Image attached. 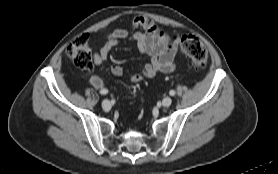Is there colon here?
Listing matches in <instances>:
<instances>
[{"label": "colon", "instance_id": "colon-1", "mask_svg": "<svg viewBox=\"0 0 278 174\" xmlns=\"http://www.w3.org/2000/svg\"><path fill=\"white\" fill-rule=\"evenodd\" d=\"M164 35V32H160L158 38H163ZM171 40L189 57L195 69H203L206 66L208 59L207 49L198 38L184 34L173 35ZM66 53L78 68L87 70L91 67L92 50L86 35L76 37L67 47Z\"/></svg>", "mask_w": 278, "mask_h": 174}]
</instances>
